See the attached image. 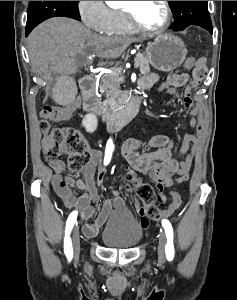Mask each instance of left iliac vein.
Masks as SVG:
<instances>
[{
  "label": "left iliac vein",
  "instance_id": "obj_1",
  "mask_svg": "<svg viewBox=\"0 0 237 300\" xmlns=\"http://www.w3.org/2000/svg\"><path fill=\"white\" fill-rule=\"evenodd\" d=\"M165 245H166V236L165 234L161 233L159 235V243H158V249H157V253H158V262L159 264H163L164 263V258H165Z\"/></svg>",
  "mask_w": 237,
  "mask_h": 300
}]
</instances>
